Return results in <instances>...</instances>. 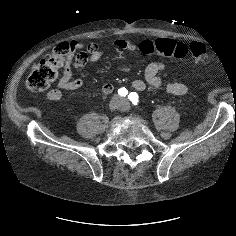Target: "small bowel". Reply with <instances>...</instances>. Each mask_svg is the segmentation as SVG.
Segmentation results:
<instances>
[{"mask_svg": "<svg viewBox=\"0 0 236 236\" xmlns=\"http://www.w3.org/2000/svg\"><path fill=\"white\" fill-rule=\"evenodd\" d=\"M147 41V40H145ZM143 41V42H145ZM151 41V40H149ZM138 46L139 50L142 43ZM153 42V41H152ZM117 48L122 50L133 51L137 48V45L127 39H117L115 41ZM71 50L76 53L74 59L70 61L67 69L58 82L57 88L51 89L47 93L49 100H59L63 97V91H74L84 87V81L81 79H72V71L74 69L85 66L86 64L94 63L101 59L105 51L100 49L95 43H89L85 45L80 41H71L69 44ZM141 52V51H140ZM132 64L130 62H121L116 65L115 69L118 72H127L130 70ZM171 67L162 62L150 63L144 71V80L135 79L132 81L131 86L139 91H144L148 86L155 89H162L173 95H185L188 93L187 85L180 82L165 83L160 77V73L166 70H170ZM113 91V85L106 83L102 86V92L106 95L111 94Z\"/></svg>", "mask_w": 236, "mask_h": 236, "instance_id": "small-bowel-1", "label": "small bowel"}]
</instances>
